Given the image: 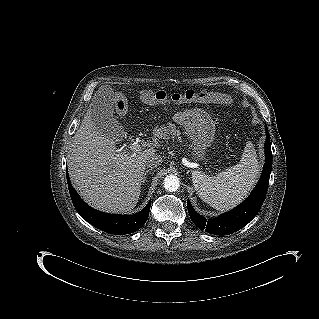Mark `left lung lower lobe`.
Instances as JSON below:
<instances>
[{
  "label": "left lung lower lobe",
  "mask_w": 319,
  "mask_h": 319,
  "mask_svg": "<svg viewBox=\"0 0 319 319\" xmlns=\"http://www.w3.org/2000/svg\"><path fill=\"white\" fill-rule=\"evenodd\" d=\"M264 147L266 158L261 178L249 197L239 206L216 218L207 220L198 214L192 208L191 203L187 201L191 220L200 230L215 235H229L246 226L257 215L267 193L272 167L270 136L267 128Z\"/></svg>",
  "instance_id": "obj_1"
}]
</instances>
